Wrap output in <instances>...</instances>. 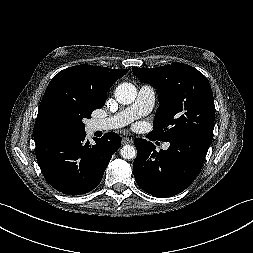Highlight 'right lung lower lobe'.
Listing matches in <instances>:
<instances>
[{
    "label": "right lung lower lobe",
    "instance_id": "1",
    "mask_svg": "<svg viewBox=\"0 0 253 253\" xmlns=\"http://www.w3.org/2000/svg\"><path fill=\"white\" fill-rule=\"evenodd\" d=\"M86 133H51L35 140L36 157L46 181L67 195L90 192L100 183L104 171L121 146V137L109 132L94 139Z\"/></svg>",
    "mask_w": 253,
    "mask_h": 253
}]
</instances>
